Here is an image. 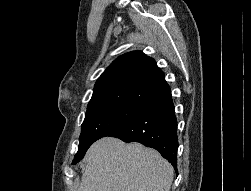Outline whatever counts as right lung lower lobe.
<instances>
[{"instance_id": "obj_1", "label": "right lung lower lobe", "mask_w": 251, "mask_h": 191, "mask_svg": "<svg viewBox=\"0 0 251 191\" xmlns=\"http://www.w3.org/2000/svg\"><path fill=\"white\" fill-rule=\"evenodd\" d=\"M107 136L127 143L139 142L156 149L172 164L177 173V119L170 90Z\"/></svg>"}]
</instances>
